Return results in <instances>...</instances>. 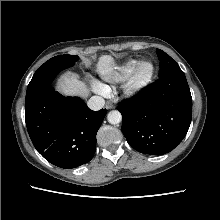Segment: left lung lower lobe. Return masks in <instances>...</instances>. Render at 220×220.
Instances as JSON below:
<instances>
[{
    "instance_id": "0a47b994",
    "label": "left lung lower lobe",
    "mask_w": 220,
    "mask_h": 220,
    "mask_svg": "<svg viewBox=\"0 0 220 220\" xmlns=\"http://www.w3.org/2000/svg\"><path fill=\"white\" fill-rule=\"evenodd\" d=\"M117 108L127 142L138 152L162 155L185 137L191 123L192 97L184 73H176L160 77Z\"/></svg>"
}]
</instances>
